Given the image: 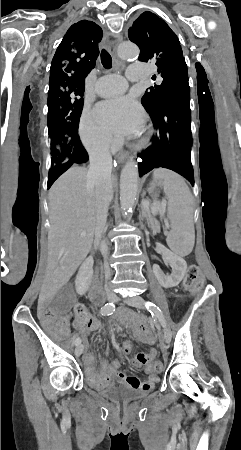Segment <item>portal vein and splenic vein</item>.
<instances>
[{
	"instance_id": "portal-vein-and-splenic-vein-1",
	"label": "portal vein and splenic vein",
	"mask_w": 241,
	"mask_h": 450,
	"mask_svg": "<svg viewBox=\"0 0 241 450\" xmlns=\"http://www.w3.org/2000/svg\"><path fill=\"white\" fill-rule=\"evenodd\" d=\"M144 209L143 212L144 213H164V209L166 208V205L164 204V202H151V204H144ZM86 236V232H81L80 234V238H85Z\"/></svg>"
}]
</instances>
